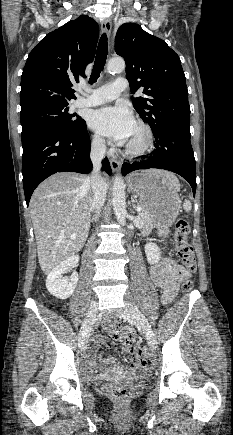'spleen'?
Wrapping results in <instances>:
<instances>
[{
  "instance_id": "spleen-1",
  "label": "spleen",
  "mask_w": 233,
  "mask_h": 435,
  "mask_svg": "<svg viewBox=\"0 0 233 435\" xmlns=\"http://www.w3.org/2000/svg\"><path fill=\"white\" fill-rule=\"evenodd\" d=\"M183 208L185 211L189 212L192 208V204L189 200H185L183 203Z\"/></svg>"
}]
</instances>
